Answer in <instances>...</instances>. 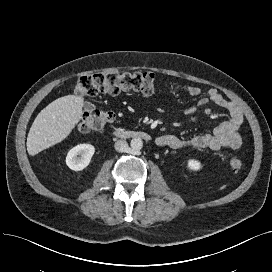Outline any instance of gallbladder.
<instances>
[{"label":"gallbladder","instance_id":"obj_1","mask_svg":"<svg viewBox=\"0 0 272 272\" xmlns=\"http://www.w3.org/2000/svg\"><path fill=\"white\" fill-rule=\"evenodd\" d=\"M84 109L86 110V111H93L94 109H95V105H93L92 103H90V102H85V104H84Z\"/></svg>","mask_w":272,"mask_h":272}]
</instances>
